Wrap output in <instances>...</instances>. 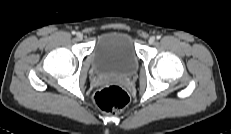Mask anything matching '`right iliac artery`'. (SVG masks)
Returning a JSON list of instances; mask_svg holds the SVG:
<instances>
[{"label": "right iliac artery", "mask_w": 231, "mask_h": 134, "mask_svg": "<svg viewBox=\"0 0 231 134\" xmlns=\"http://www.w3.org/2000/svg\"><path fill=\"white\" fill-rule=\"evenodd\" d=\"M72 34H73V35H75V34H76V32H75V31H72Z\"/></svg>", "instance_id": "1"}]
</instances>
